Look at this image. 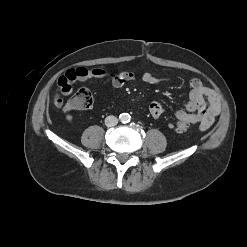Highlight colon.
I'll return each mask as SVG.
<instances>
[{
  "label": "colon",
  "instance_id": "5ec220e1",
  "mask_svg": "<svg viewBox=\"0 0 247 247\" xmlns=\"http://www.w3.org/2000/svg\"><path fill=\"white\" fill-rule=\"evenodd\" d=\"M70 105L77 110L88 109L93 105V95L86 87L79 88L73 97L69 100ZM188 124L178 121L172 125L177 132L183 133L188 130Z\"/></svg>",
  "mask_w": 247,
  "mask_h": 247
}]
</instances>
